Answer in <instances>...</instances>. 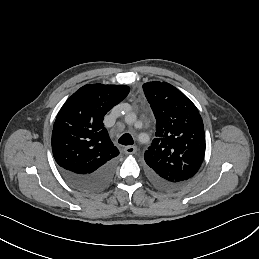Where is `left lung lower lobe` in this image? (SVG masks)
Listing matches in <instances>:
<instances>
[{
    "instance_id": "1",
    "label": "left lung lower lobe",
    "mask_w": 259,
    "mask_h": 259,
    "mask_svg": "<svg viewBox=\"0 0 259 259\" xmlns=\"http://www.w3.org/2000/svg\"><path fill=\"white\" fill-rule=\"evenodd\" d=\"M149 177L157 186L164 188V189H176L185 184V183H171V182L160 181V180H157L154 177H152L150 174H149Z\"/></svg>"
}]
</instances>
